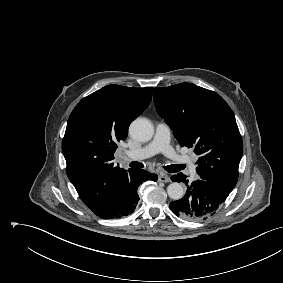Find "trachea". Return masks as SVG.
Instances as JSON below:
<instances>
[{
  "mask_svg": "<svg viewBox=\"0 0 283 283\" xmlns=\"http://www.w3.org/2000/svg\"><path fill=\"white\" fill-rule=\"evenodd\" d=\"M129 166L132 167V168H138V169L144 167V165L142 163L137 162V161L130 162ZM184 168H185L184 164L169 165V166L164 167V169L168 172H178V171H180L181 169H184Z\"/></svg>",
  "mask_w": 283,
  "mask_h": 283,
  "instance_id": "3493384b",
  "label": "trachea"
}]
</instances>
